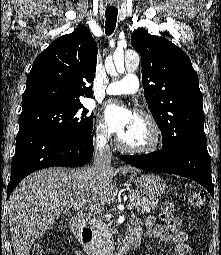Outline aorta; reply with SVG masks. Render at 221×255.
<instances>
[{
  "label": "aorta",
  "mask_w": 221,
  "mask_h": 255,
  "mask_svg": "<svg viewBox=\"0 0 221 255\" xmlns=\"http://www.w3.org/2000/svg\"><path fill=\"white\" fill-rule=\"evenodd\" d=\"M114 69L118 74H122L125 70L134 71L139 65V57L136 53L130 51L124 54L116 53L113 56ZM106 69L110 71V67L106 64Z\"/></svg>",
  "instance_id": "762f6f07"
}]
</instances>
